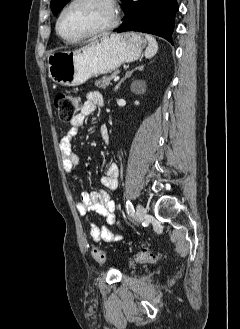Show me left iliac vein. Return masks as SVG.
<instances>
[{"mask_svg":"<svg viewBox=\"0 0 240 329\" xmlns=\"http://www.w3.org/2000/svg\"><path fill=\"white\" fill-rule=\"evenodd\" d=\"M145 216H146V209L141 204H138L136 206V218H137V221L138 222L144 221Z\"/></svg>","mask_w":240,"mask_h":329,"instance_id":"1","label":"left iliac vein"}]
</instances>
